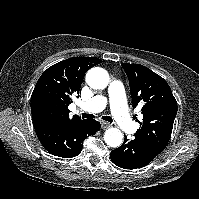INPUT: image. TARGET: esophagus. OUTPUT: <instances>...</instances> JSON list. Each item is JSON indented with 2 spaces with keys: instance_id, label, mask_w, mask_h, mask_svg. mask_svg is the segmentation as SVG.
<instances>
[{
  "instance_id": "esophagus-1",
  "label": "esophagus",
  "mask_w": 199,
  "mask_h": 199,
  "mask_svg": "<svg viewBox=\"0 0 199 199\" xmlns=\"http://www.w3.org/2000/svg\"><path fill=\"white\" fill-rule=\"evenodd\" d=\"M110 126H111V124L108 123V122H105V121H102V122H101V128H102V129H107V128H109Z\"/></svg>"
}]
</instances>
